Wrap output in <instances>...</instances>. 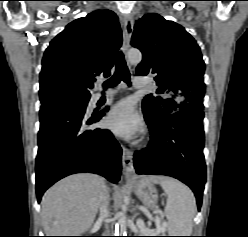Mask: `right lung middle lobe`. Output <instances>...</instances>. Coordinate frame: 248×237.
Here are the masks:
<instances>
[{
	"label": "right lung middle lobe",
	"mask_w": 248,
	"mask_h": 237,
	"mask_svg": "<svg viewBox=\"0 0 248 237\" xmlns=\"http://www.w3.org/2000/svg\"><path fill=\"white\" fill-rule=\"evenodd\" d=\"M89 100H58L47 105L42 106L41 108L46 107H74L79 109H86Z\"/></svg>",
	"instance_id": "dd1d6c3e"
}]
</instances>
